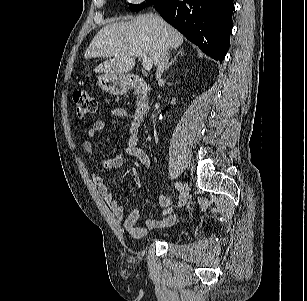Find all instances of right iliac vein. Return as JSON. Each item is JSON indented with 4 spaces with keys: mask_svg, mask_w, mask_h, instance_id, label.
Listing matches in <instances>:
<instances>
[{
    "mask_svg": "<svg viewBox=\"0 0 307 301\" xmlns=\"http://www.w3.org/2000/svg\"><path fill=\"white\" fill-rule=\"evenodd\" d=\"M188 197H189V188L187 184H184L180 194L178 206L179 207L184 206L188 200Z\"/></svg>",
    "mask_w": 307,
    "mask_h": 301,
    "instance_id": "right-iliac-vein-1",
    "label": "right iliac vein"
}]
</instances>
